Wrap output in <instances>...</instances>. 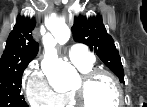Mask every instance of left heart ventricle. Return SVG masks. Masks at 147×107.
<instances>
[{"mask_svg":"<svg viewBox=\"0 0 147 107\" xmlns=\"http://www.w3.org/2000/svg\"><path fill=\"white\" fill-rule=\"evenodd\" d=\"M80 79L72 89L79 86ZM85 99L90 107H113L117 105L118 94L114 84L105 76L94 80L85 90Z\"/></svg>","mask_w":147,"mask_h":107,"instance_id":"left-heart-ventricle-1","label":"left heart ventricle"}]
</instances>
